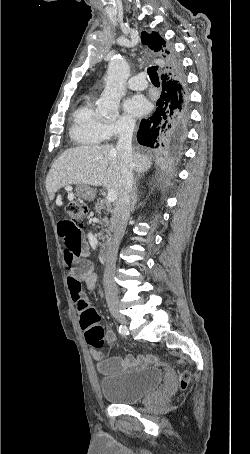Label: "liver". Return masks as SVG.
I'll use <instances>...</instances> for the list:
<instances>
[{"mask_svg": "<svg viewBox=\"0 0 250 454\" xmlns=\"http://www.w3.org/2000/svg\"><path fill=\"white\" fill-rule=\"evenodd\" d=\"M133 169L140 175L148 170L150 159L140 152L133 154ZM121 158L113 145L80 146L64 151L53 163L46 177V189L50 199L68 185L103 186L115 190L121 188Z\"/></svg>", "mask_w": 250, "mask_h": 454, "instance_id": "6515ba94", "label": "liver"}]
</instances>
